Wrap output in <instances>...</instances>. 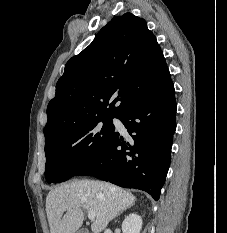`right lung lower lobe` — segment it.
Instances as JSON below:
<instances>
[{"label":"right lung lower lobe","instance_id":"obj_1","mask_svg":"<svg viewBox=\"0 0 227 233\" xmlns=\"http://www.w3.org/2000/svg\"><path fill=\"white\" fill-rule=\"evenodd\" d=\"M174 93L170 80L121 114L118 119L129 137L114 132L99 154L76 176H94L124 188L140 189L158 200L176 130Z\"/></svg>","mask_w":227,"mask_h":233}]
</instances>
